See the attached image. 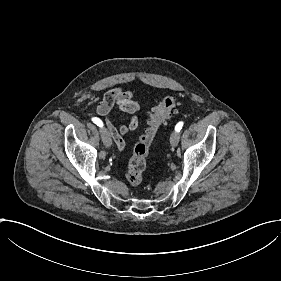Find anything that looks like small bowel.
<instances>
[{
	"label": "small bowel",
	"mask_w": 281,
	"mask_h": 281,
	"mask_svg": "<svg viewBox=\"0 0 281 281\" xmlns=\"http://www.w3.org/2000/svg\"><path fill=\"white\" fill-rule=\"evenodd\" d=\"M114 106L119 107L130 116L127 125L122 124L118 128H115L110 122L109 113ZM138 109L139 105L133 98L131 92L122 87H115L108 90L104 99L96 108L97 114L105 119L111 138L119 144L118 146L121 149L125 146L122 136L139 127V119L135 116Z\"/></svg>",
	"instance_id": "1"
}]
</instances>
